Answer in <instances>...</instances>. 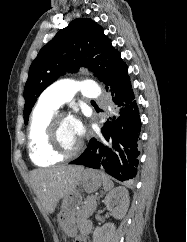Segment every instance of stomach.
Instances as JSON below:
<instances>
[{
  "mask_svg": "<svg viewBox=\"0 0 187 242\" xmlns=\"http://www.w3.org/2000/svg\"><path fill=\"white\" fill-rule=\"evenodd\" d=\"M102 183L103 180L99 171L93 169H84L82 171L79 185L86 193L97 191ZM81 204L82 195L78 189L71 191L62 200L58 214V224L62 231L69 237L76 235L77 227L82 220V217L79 215Z\"/></svg>",
  "mask_w": 187,
  "mask_h": 242,
  "instance_id": "0dacf381",
  "label": "stomach"
}]
</instances>
